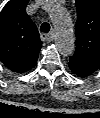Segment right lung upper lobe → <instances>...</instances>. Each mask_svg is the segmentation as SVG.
Listing matches in <instances>:
<instances>
[{"instance_id":"cb5924a9","label":"right lung upper lobe","mask_w":100,"mask_h":118,"mask_svg":"<svg viewBox=\"0 0 100 118\" xmlns=\"http://www.w3.org/2000/svg\"><path fill=\"white\" fill-rule=\"evenodd\" d=\"M29 0H10L0 13V60L10 70L33 68L42 46L39 32L26 14Z\"/></svg>"}]
</instances>
